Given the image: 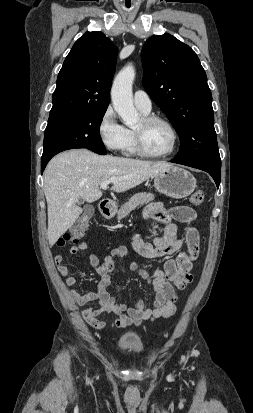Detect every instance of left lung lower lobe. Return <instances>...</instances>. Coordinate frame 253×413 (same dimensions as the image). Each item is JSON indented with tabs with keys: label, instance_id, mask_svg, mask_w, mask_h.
I'll list each match as a JSON object with an SVG mask.
<instances>
[{
	"label": "left lung lower lobe",
	"instance_id": "left-lung-lower-lobe-1",
	"mask_svg": "<svg viewBox=\"0 0 253 413\" xmlns=\"http://www.w3.org/2000/svg\"><path fill=\"white\" fill-rule=\"evenodd\" d=\"M174 163L190 166L193 168H197L203 171L208 172L214 179L217 187H219L220 180H221V163H213V162H182L177 161L175 159L172 160Z\"/></svg>",
	"mask_w": 253,
	"mask_h": 413
}]
</instances>
